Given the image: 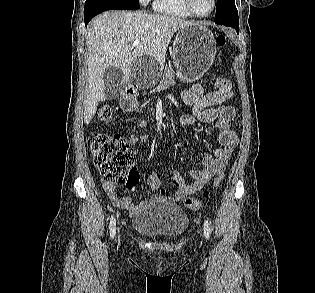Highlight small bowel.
<instances>
[{
    "label": "small bowel",
    "mask_w": 315,
    "mask_h": 293,
    "mask_svg": "<svg viewBox=\"0 0 315 293\" xmlns=\"http://www.w3.org/2000/svg\"><path fill=\"white\" fill-rule=\"evenodd\" d=\"M181 97L185 104L192 106V114L181 117V126H191L196 121L203 124L213 123L217 146L212 149L204 148L201 150L202 168L189 169V175L192 178L191 183H187L179 172L172 173L171 181L177 187L173 194H169L168 189L163 186L158 172H153L147 180V187L150 192L149 200H143L137 204L130 197L120 196L114 185L103 183L104 190L112 204L118 208L128 210L131 215H136L150 203L176 204L188 195L201 190L212 176L225 169L238 144V136L231 128V123L235 118V110L233 107L223 104L232 97V93L224 94L223 92H215L214 89L204 93L202 86L195 83L188 89L183 90ZM128 141L131 145L144 144L147 142V136L132 135ZM158 190H160V193L155 194Z\"/></svg>",
    "instance_id": "c3829d8e"
}]
</instances>
